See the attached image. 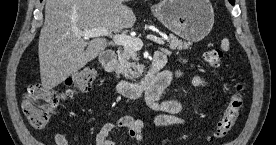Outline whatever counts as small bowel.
<instances>
[{"label": "small bowel", "mask_w": 276, "mask_h": 145, "mask_svg": "<svg viewBox=\"0 0 276 145\" xmlns=\"http://www.w3.org/2000/svg\"><path fill=\"white\" fill-rule=\"evenodd\" d=\"M171 80L175 75L171 71H166ZM196 85H203L200 78L194 80ZM162 91L152 90L145 93L144 99L147 106L157 114L154 124L157 126H173L184 123L180 117L181 105L176 100H161ZM124 129L128 137L137 145H142L143 130L146 128V122L143 119L135 118L129 115L120 117L117 121L107 122L95 134V145H116L110 138V134L115 129ZM56 145H68V139L63 133H56L54 136Z\"/></svg>", "instance_id": "c3829d8e"}]
</instances>
